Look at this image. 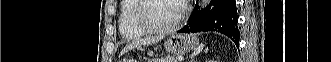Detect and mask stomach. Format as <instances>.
<instances>
[{
  "label": "stomach",
  "mask_w": 331,
  "mask_h": 62,
  "mask_svg": "<svg viewBox=\"0 0 331 62\" xmlns=\"http://www.w3.org/2000/svg\"><path fill=\"white\" fill-rule=\"evenodd\" d=\"M198 45L199 41L195 36L176 33L170 35L164 44L167 52L180 55L197 49Z\"/></svg>",
  "instance_id": "stomach-1"
}]
</instances>
